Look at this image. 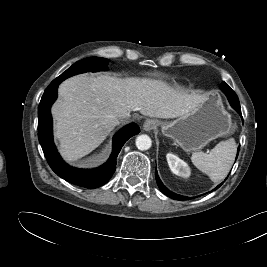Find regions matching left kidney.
Masks as SVG:
<instances>
[{
	"mask_svg": "<svg viewBox=\"0 0 267 267\" xmlns=\"http://www.w3.org/2000/svg\"><path fill=\"white\" fill-rule=\"evenodd\" d=\"M166 158L168 165L174 174L183 178H188L190 176L191 170L186 162L174 154H167Z\"/></svg>",
	"mask_w": 267,
	"mask_h": 267,
	"instance_id": "left-kidney-1",
	"label": "left kidney"
}]
</instances>
